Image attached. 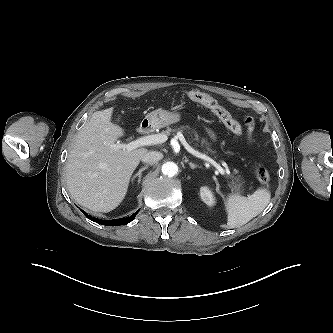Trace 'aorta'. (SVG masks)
Returning <instances> with one entry per match:
<instances>
[{
    "instance_id": "aorta-1",
    "label": "aorta",
    "mask_w": 333,
    "mask_h": 333,
    "mask_svg": "<svg viewBox=\"0 0 333 333\" xmlns=\"http://www.w3.org/2000/svg\"><path fill=\"white\" fill-rule=\"evenodd\" d=\"M162 173L169 177H173L178 173V166L174 162H166L162 165Z\"/></svg>"
}]
</instances>
